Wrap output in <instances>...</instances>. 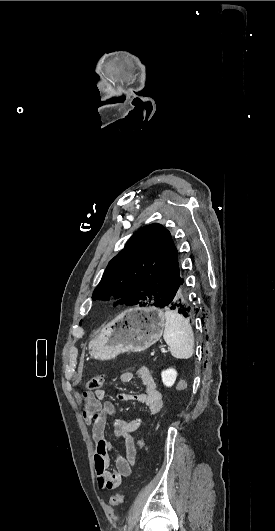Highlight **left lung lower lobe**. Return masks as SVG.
<instances>
[{"label":"left lung lower lobe","mask_w":275,"mask_h":531,"mask_svg":"<svg viewBox=\"0 0 275 531\" xmlns=\"http://www.w3.org/2000/svg\"><path fill=\"white\" fill-rule=\"evenodd\" d=\"M165 307L178 311V313L189 319L193 316V308L189 300L188 291L183 285V279H181L179 288Z\"/></svg>","instance_id":"obj_1"}]
</instances>
